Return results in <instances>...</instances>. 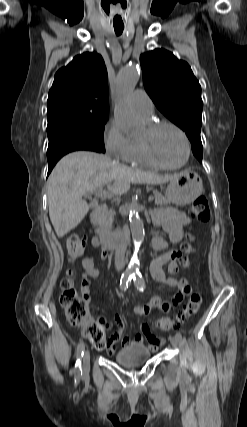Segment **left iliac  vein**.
Masks as SVG:
<instances>
[{
    "mask_svg": "<svg viewBox=\"0 0 247 427\" xmlns=\"http://www.w3.org/2000/svg\"><path fill=\"white\" fill-rule=\"evenodd\" d=\"M179 338L175 335V336H173V337H170V342H171V344L174 346V347H176L177 345H178V343H179Z\"/></svg>",
    "mask_w": 247,
    "mask_h": 427,
    "instance_id": "left-iliac-vein-1",
    "label": "left iliac vein"
}]
</instances>
